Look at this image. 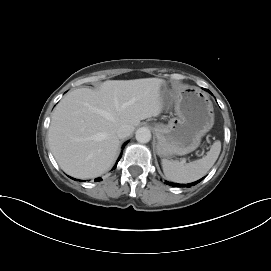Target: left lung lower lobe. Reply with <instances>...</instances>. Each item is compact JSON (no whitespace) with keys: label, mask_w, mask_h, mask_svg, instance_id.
<instances>
[{"label":"left lung lower lobe","mask_w":271,"mask_h":271,"mask_svg":"<svg viewBox=\"0 0 271 271\" xmlns=\"http://www.w3.org/2000/svg\"><path fill=\"white\" fill-rule=\"evenodd\" d=\"M202 179H203V178H202ZM202 179H200V180H198V181H196V182H193V183H191L190 185H195V184L199 183ZM167 184H168V185H171V186H176V187H180V186L185 187V186H186V185H180V184L171 183V182H167Z\"/></svg>","instance_id":"left-lung-lower-lobe-1"}]
</instances>
